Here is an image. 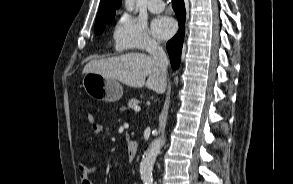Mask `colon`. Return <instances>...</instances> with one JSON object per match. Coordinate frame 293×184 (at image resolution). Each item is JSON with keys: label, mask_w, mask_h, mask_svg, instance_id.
Instances as JSON below:
<instances>
[{"label": "colon", "mask_w": 293, "mask_h": 184, "mask_svg": "<svg viewBox=\"0 0 293 184\" xmlns=\"http://www.w3.org/2000/svg\"><path fill=\"white\" fill-rule=\"evenodd\" d=\"M87 120L89 123L94 124L95 123V116L92 113H89L87 115Z\"/></svg>", "instance_id": "colon-1"}]
</instances>
